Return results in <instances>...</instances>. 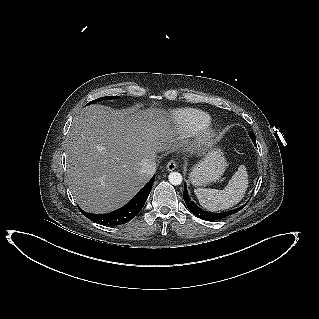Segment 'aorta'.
I'll return each instance as SVG.
<instances>
[{
    "label": "aorta",
    "mask_w": 319,
    "mask_h": 319,
    "mask_svg": "<svg viewBox=\"0 0 319 319\" xmlns=\"http://www.w3.org/2000/svg\"><path fill=\"white\" fill-rule=\"evenodd\" d=\"M169 182L173 185H180L182 183V175L179 172H171L168 176Z\"/></svg>",
    "instance_id": "aorta-1"
}]
</instances>
